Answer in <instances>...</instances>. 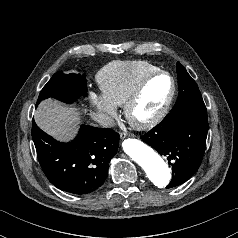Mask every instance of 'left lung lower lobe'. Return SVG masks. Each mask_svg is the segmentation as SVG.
I'll list each match as a JSON object with an SVG mask.
<instances>
[{"label": "left lung lower lobe", "mask_w": 238, "mask_h": 238, "mask_svg": "<svg viewBox=\"0 0 238 238\" xmlns=\"http://www.w3.org/2000/svg\"><path fill=\"white\" fill-rule=\"evenodd\" d=\"M206 111L169 113L141 139L167 158L172 179L166 188L179 186L198 170L206 147Z\"/></svg>", "instance_id": "left-lung-lower-lobe-1"}]
</instances>
